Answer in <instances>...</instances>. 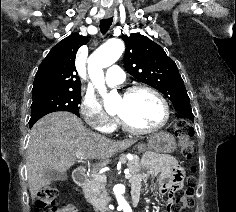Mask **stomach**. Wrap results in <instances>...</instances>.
I'll return each instance as SVG.
<instances>
[{"instance_id":"1","label":"stomach","mask_w":236,"mask_h":212,"mask_svg":"<svg viewBox=\"0 0 236 212\" xmlns=\"http://www.w3.org/2000/svg\"><path fill=\"white\" fill-rule=\"evenodd\" d=\"M176 147V142L170 133L158 132L152 135L147 142V148L145 145H139V151L143 152L146 149L155 151L158 153L170 154L174 151Z\"/></svg>"}]
</instances>
